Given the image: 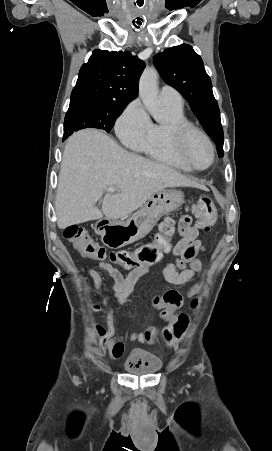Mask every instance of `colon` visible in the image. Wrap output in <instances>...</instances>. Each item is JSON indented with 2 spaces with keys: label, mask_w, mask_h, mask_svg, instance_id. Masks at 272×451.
I'll use <instances>...</instances> for the list:
<instances>
[{
  "label": "colon",
  "mask_w": 272,
  "mask_h": 451,
  "mask_svg": "<svg viewBox=\"0 0 272 451\" xmlns=\"http://www.w3.org/2000/svg\"><path fill=\"white\" fill-rule=\"evenodd\" d=\"M197 206L198 212L202 213L204 218L198 221L196 228L203 233H210L218 216L216 204L211 196L203 194L199 197ZM154 237V241L144 243L133 251L110 252L109 249H102L98 244H94L87 237L85 229L78 224H69L64 230V238L79 249L80 256L94 255L100 261L110 258L115 263L127 268H139L159 264L164 256L171 251L172 246L168 241V239L173 237L171 230H166L165 232L164 230H155ZM197 304L198 301L195 298L188 300L190 307H195ZM188 321L189 319L186 314H180L174 321L164 325L161 334L165 343L170 348H174L180 338L187 332ZM150 330L156 335L151 339L149 345L155 348L161 336L159 329L151 328ZM95 331L99 338L104 341L105 327L97 323L95 325Z\"/></svg>",
  "instance_id": "1"
}]
</instances>
